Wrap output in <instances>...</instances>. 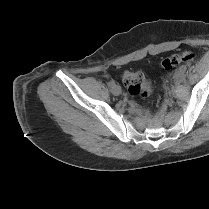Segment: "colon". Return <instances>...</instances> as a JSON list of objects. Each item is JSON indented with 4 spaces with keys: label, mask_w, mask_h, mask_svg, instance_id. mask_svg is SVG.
<instances>
[{
    "label": "colon",
    "mask_w": 209,
    "mask_h": 209,
    "mask_svg": "<svg viewBox=\"0 0 209 209\" xmlns=\"http://www.w3.org/2000/svg\"><path fill=\"white\" fill-rule=\"evenodd\" d=\"M192 59V53L189 51H184L163 59L161 66L166 70H170L182 63L190 62ZM122 81L128 93L133 96L147 98L153 92L152 82L140 71H124Z\"/></svg>",
    "instance_id": "colon-1"
}]
</instances>
